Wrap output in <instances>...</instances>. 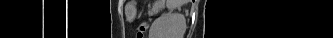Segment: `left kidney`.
<instances>
[{"mask_svg":"<svg viewBox=\"0 0 333 38\" xmlns=\"http://www.w3.org/2000/svg\"><path fill=\"white\" fill-rule=\"evenodd\" d=\"M186 19L180 13L162 14L150 28V38H183L186 32Z\"/></svg>","mask_w":333,"mask_h":38,"instance_id":"obj_1","label":"left kidney"}]
</instances>
